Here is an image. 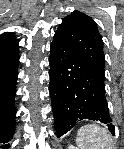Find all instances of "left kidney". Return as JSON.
<instances>
[{"label":"left kidney","mask_w":124,"mask_h":149,"mask_svg":"<svg viewBox=\"0 0 124 149\" xmlns=\"http://www.w3.org/2000/svg\"><path fill=\"white\" fill-rule=\"evenodd\" d=\"M68 149H77V148L74 147L73 145H70V146L68 147Z\"/></svg>","instance_id":"left-kidney-1"}]
</instances>
